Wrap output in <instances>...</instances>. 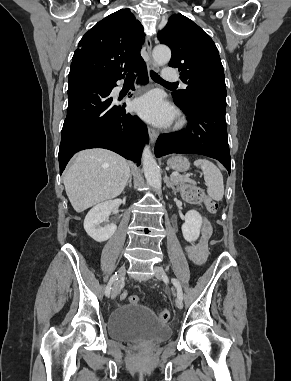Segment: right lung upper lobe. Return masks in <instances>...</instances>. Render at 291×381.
<instances>
[{"label": "right lung upper lobe", "mask_w": 291, "mask_h": 381, "mask_svg": "<svg viewBox=\"0 0 291 381\" xmlns=\"http://www.w3.org/2000/svg\"><path fill=\"white\" fill-rule=\"evenodd\" d=\"M143 27L130 10L110 14L84 34L74 52L69 75H84L105 81L121 79L122 71L143 63L139 51Z\"/></svg>", "instance_id": "obj_1"}]
</instances>
